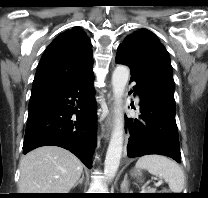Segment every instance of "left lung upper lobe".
<instances>
[{
	"instance_id": "left-lung-upper-lobe-1",
	"label": "left lung upper lobe",
	"mask_w": 208,
	"mask_h": 198,
	"mask_svg": "<svg viewBox=\"0 0 208 198\" xmlns=\"http://www.w3.org/2000/svg\"><path fill=\"white\" fill-rule=\"evenodd\" d=\"M119 49L127 54L133 68L141 78L175 104L170 58L154 33L142 28L127 36L119 45Z\"/></svg>"
}]
</instances>
